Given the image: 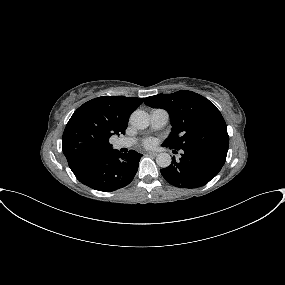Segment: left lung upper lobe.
Returning a JSON list of instances; mask_svg holds the SVG:
<instances>
[{
	"mask_svg": "<svg viewBox=\"0 0 285 285\" xmlns=\"http://www.w3.org/2000/svg\"><path fill=\"white\" fill-rule=\"evenodd\" d=\"M145 104L165 109L172 131L163 146L174 150L211 149L228 152V133L220 111L205 97L182 90L145 98Z\"/></svg>",
	"mask_w": 285,
	"mask_h": 285,
	"instance_id": "1",
	"label": "left lung upper lobe"
}]
</instances>
